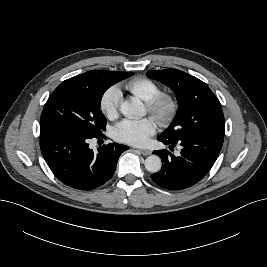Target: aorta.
Returning <instances> with one entry per match:
<instances>
[{
    "label": "aorta",
    "mask_w": 267,
    "mask_h": 267,
    "mask_svg": "<svg viewBox=\"0 0 267 267\" xmlns=\"http://www.w3.org/2000/svg\"><path fill=\"white\" fill-rule=\"evenodd\" d=\"M120 111L128 118L141 117L146 113L143 103L137 98H132L130 100L121 102ZM144 165L147 171L151 173H157L161 169L162 161L159 156L150 155L146 158Z\"/></svg>",
    "instance_id": "obj_1"
}]
</instances>
